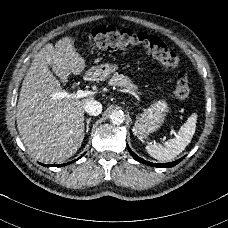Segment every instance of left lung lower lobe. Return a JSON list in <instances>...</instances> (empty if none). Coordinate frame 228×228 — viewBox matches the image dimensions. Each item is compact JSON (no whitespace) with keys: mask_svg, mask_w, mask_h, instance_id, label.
I'll return each instance as SVG.
<instances>
[{"mask_svg":"<svg viewBox=\"0 0 228 228\" xmlns=\"http://www.w3.org/2000/svg\"><path fill=\"white\" fill-rule=\"evenodd\" d=\"M127 147H128V150H129L130 154L132 155V157H133L135 160L139 161L140 163H143V164H146V165H149V166H153V167H167V168H169V167L175 166L176 164H178V163L184 158V157H183V158H181V159H179V160H177V161L170 162V163H160V164H156V163H151V162H148V161H146V160L140 158L139 156H137V155L130 149L129 146H127Z\"/></svg>","mask_w":228,"mask_h":228,"instance_id":"1","label":"left lung lower lobe"}]
</instances>
